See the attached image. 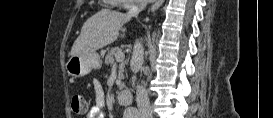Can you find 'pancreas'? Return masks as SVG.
Returning <instances> with one entry per match:
<instances>
[{"mask_svg": "<svg viewBox=\"0 0 273 118\" xmlns=\"http://www.w3.org/2000/svg\"><path fill=\"white\" fill-rule=\"evenodd\" d=\"M121 49L120 48H112L111 50L108 51L106 57H105V63L107 65H113L115 64V55L117 52H120ZM119 72H118V82H117V87L119 90H122L123 88H125V84L122 82V79L124 78V68H125V62L123 61H119Z\"/></svg>", "mask_w": 273, "mask_h": 118, "instance_id": "1", "label": "pancreas"}]
</instances>
